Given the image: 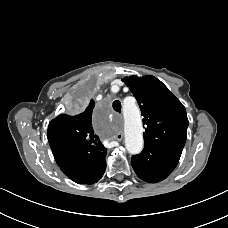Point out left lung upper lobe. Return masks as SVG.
<instances>
[{
	"mask_svg": "<svg viewBox=\"0 0 228 228\" xmlns=\"http://www.w3.org/2000/svg\"><path fill=\"white\" fill-rule=\"evenodd\" d=\"M122 81L137 99L144 117V145L182 152L189 124L182 103L154 76H130Z\"/></svg>",
	"mask_w": 228,
	"mask_h": 228,
	"instance_id": "5c2ea615",
	"label": "left lung upper lobe"
}]
</instances>
